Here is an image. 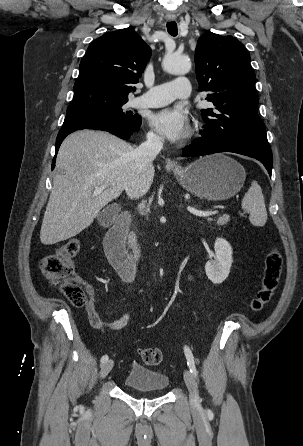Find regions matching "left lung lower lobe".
<instances>
[{
	"label": "left lung lower lobe",
	"mask_w": 303,
	"mask_h": 446,
	"mask_svg": "<svg viewBox=\"0 0 303 446\" xmlns=\"http://www.w3.org/2000/svg\"><path fill=\"white\" fill-rule=\"evenodd\" d=\"M219 152H233L255 158L265 166L269 175H271L272 152L269 145L244 141H233L229 139L213 140L200 138L193 144L183 149V156L196 157Z\"/></svg>",
	"instance_id": "1"
}]
</instances>
